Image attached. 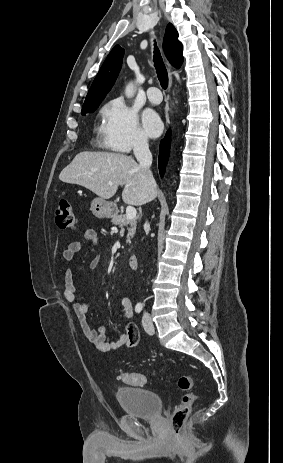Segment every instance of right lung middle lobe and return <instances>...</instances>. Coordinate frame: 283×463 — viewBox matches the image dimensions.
<instances>
[{"label": "right lung middle lobe", "mask_w": 283, "mask_h": 463, "mask_svg": "<svg viewBox=\"0 0 283 463\" xmlns=\"http://www.w3.org/2000/svg\"><path fill=\"white\" fill-rule=\"evenodd\" d=\"M99 104H100V103L93 104V105H90V106H84V107H82V113H83V114H86V113H88V112L90 113V112L95 111Z\"/></svg>", "instance_id": "dd1d6c3e"}]
</instances>
